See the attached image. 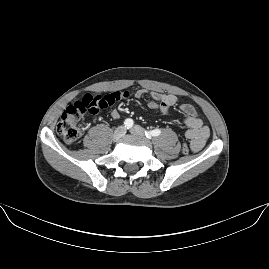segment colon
I'll use <instances>...</instances> for the list:
<instances>
[{
  "label": "colon",
  "instance_id": "1",
  "mask_svg": "<svg viewBox=\"0 0 269 269\" xmlns=\"http://www.w3.org/2000/svg\"><path fill=\"white\" fill-rule=\"evenodd\" d=\"M118 96L123 98L125 92L120 90L118 95L113 93L111 96L107 95V97L87 94L81 100L75 101L65 109L56 124L58 135L68 144L76 143L85 129L86 120L85 118L82 119L85 112L93 116L114 103ZM182 152L184 155L188 154L189 147L184 145Z\"/></svg>",
  "mask_w": 269,
  "mask_h": 269
}]
</instances>
